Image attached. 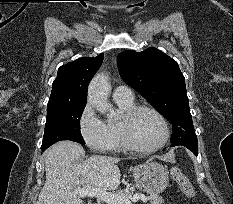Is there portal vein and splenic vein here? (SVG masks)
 <instances>
[{
    "instance_id": "portal-vein-and-splenic-vein-1",
    "label": "portal vein and splenic vein",
    "mask_w": 233,
    "mask_h": 204,
    "mask_svg": "<svg viewBox=\"0 0 233 204\" xmlns=\"http://www.w3.org/2000/svg\"><path fill=\"white\" fill-rule=\"evenodd\" d=\"M74 192L77 193L80 197H96L107 204H131L132 202L147 201V198L143 194H135L130 199L121 194H114L106 191H101L94 189L90 186H85L83 188H76Z\"/></svg>"
}]
</instances>
